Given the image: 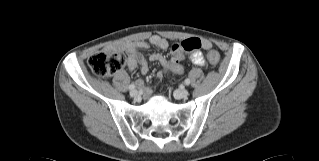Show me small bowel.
<instances>
[{
  "label": "small bowel",
  "mask_w": 319,
  "mask_h": 161,
  "mask_svg": "<svg viewBox=\"0 0 319 161\" xmlns=\"http://www.w3.org/2000/svg\"><path fill=\"white\" fill-rule=\"evenodd\" d=\"M203 47L210 48L211 43L208 40H203ZM149 45H153L159 49H167L169 43L166 39L158 36L153 35L148 42L146 41H139V42H124V43H117L113 45H109L105 48L107 52H125L127 54V66L130 71H133L140 66L141 74L145 75L148 73L149 68L147 65V61L144 56H142L138 50L139 49H147ZM189 60L196 66H203L205 64V59L200 51H196L189 55ZM150 62H158L160 63L165 70L171 72L172 74L179 75L183 72V67L180 63L174 64L171 59L165 58L160 53L151 54L149 57ZM140 88L144 90V99H148L150 95V90L145 87L143 81L137 82Z\"/></svg>",
  "instance_id": "1"
}]
</instances>
